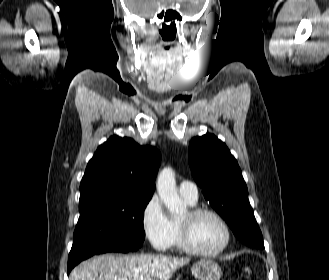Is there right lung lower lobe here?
Returning <instances> with one entry per match:
<instances>
[{
	"instance_id": "right-lung-lower-lobe-1",
	"label": "right lung lower lobe",
	"mask_w": 329,
	"mask_h": 280,
	"mask_svg": "<svg viewBox=\"0 0 329 280\" xmlns=\"http://www.w3.org/2000/svg\"><path fill=\"white\" fill-rule=\"evenodd\" d=\"M129 251H133L131 249L128 248H122V247H118V246H113V245H101V246H97L94 247L92 249H90L89 251L81 254L79 257H77L74 262L72 264L68 265V273L72 270L73 267H75L78 263H80L81 261L96 255V254H102V253H106V252H122V253H126Z\"/></svg>"
}]
</instances>
